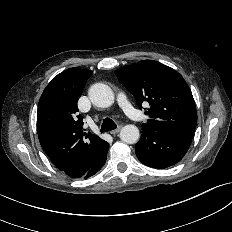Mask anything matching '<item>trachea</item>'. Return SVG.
Masks as SVG:
<instances>
[{
    "mask_svg": "<svg viewBox=\"0 0 232 232\" xmlns=\"http://www.w3.org/2000/svg\"><path fill=\"white\" fill-rule=\"evenodd\" d=\"M117 126H116V124H115V122L112 120V119H110V118H105L104 120H103V123H102V125H101V132H108V131H110V130H113V129H115Z\"/></svg>",
    "mask_w": 232,
    "mask_h": 232,
    "instance_id": "1",
    "label": "trachea"
}]
</instances>
